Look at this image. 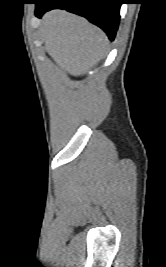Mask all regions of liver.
Returning <instances> with one entry per match:
<instances>
[{
    "label": "liver",
    "mask_w": 166,
    "mask_h": 267,
    "mask_svg": "<svg viewBox=\"0 0 166 267\" xmlns=\"http://www.w3.org/2000/svg\"><path fill=\"white\" fill-rule=\"evenodd\" d=\"M45 49L70 75L79 76L105 57L108 38L86 19L53 10L42 20Z\"/></svg>",
    "instance_id": "liver-1"
}]
</instances>
